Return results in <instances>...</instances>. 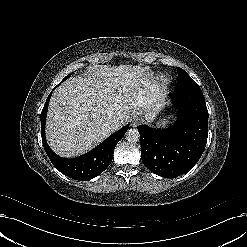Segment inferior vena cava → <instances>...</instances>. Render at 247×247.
<instances>
[{
    "mask_svg": "<svg viewBox=\"0 0 247 247\" xmlns=\"http://www.w3.org/2000/svg\"><path fill=\"white\" fill-rule=\"evenodd\" d=\"M106 129L110 130V131H115L116 129L119 128L120 126V122L118 119H111L108 120L105 125Z\"/></svg>",
    "mask_w": 247,
    "mask_h": 247,
    "instance_id": "602c4592",
    "label": "inferior vena cava"
}]
</instances>
